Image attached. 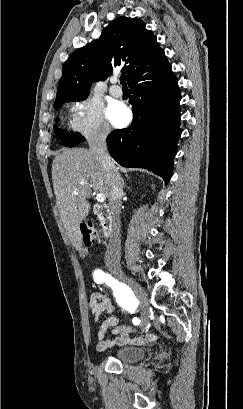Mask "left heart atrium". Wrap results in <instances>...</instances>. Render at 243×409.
Masks as SVG:
<instances>
[{
    "label": "left heart atrium",
    "instance_id": "39dd6f15",
    "mask_svg": "<svg viewBox=\"0 0 243 409\" xmlns=\"http://www.w3.org/2000/svg\"><path fill=\"white\" fill-rule=\"evenodd\" d=\"M107 117L114 126L122 127L130 120V113L124 105L115 103L108 108Z\"/></svg>",
    "mask_w": 243,
    "mask_h": 409
}]
</instances>
